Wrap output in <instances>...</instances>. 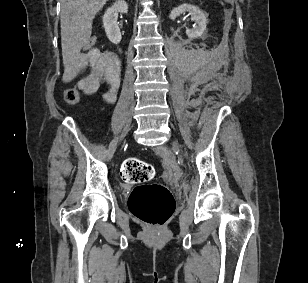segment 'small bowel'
<instances>
[{
	"mask_svg": "<svg viewBox=\"0 0 308 283\" xmlns=\"http://www.w3.org/2000/svg\"><path fill=\"white\" fill-rule=\"evenodd\" d=\"M86 68L87 74L79 77ZM66 75L70 80L77 79V87L87 95L98 93L101 84H106L107 89L102 93V98L108 103L115 102L120 85V69L112 53L98 49L79 53L67 66Z\"/></svg>",
	"mask_w": 308,
	"mask_h": 283,
	"instance_id": "c3829d8e",
	"label": "small bowel"
}]
</instances>
